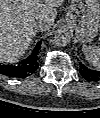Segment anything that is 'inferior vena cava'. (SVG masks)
I'll list each match as a JSON object with an SVG mask.
<instances>
[{"mask_svg":"<svg viewBox=\"0 0 100 118\" xmlns=\"http://www.w3.org/2000/svg\"><path fill=\"white\" fill-rule=\"evenodd\" d=\"M48 26L46 24H44L43 22H36L34 25H33V30L35 32H44L46 30H48Z\"/></svg>","mask_w":100,"mask_h":118,"instance_id":"1","label":"inferior vena cava"}]
</instances>
